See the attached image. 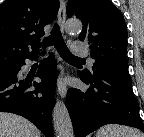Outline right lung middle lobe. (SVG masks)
Instances as JSON below:
<instances>
[{"mask_svg": "<svg viewBox=\"0 0 144 137\" xmlns=\"http://www.w3.org/2000/svg\"><path fill=\"white\" fill-rule=\"evenodd\" d=\"M13 68L9 69V70H6L4 72H0V74H4V73H9V72H12Z\"/></svg>", "mask_w": 144, "mask_h": 137, "instance_id": "obj_1", "label": "right lung middle lobe"}]
</instances>
